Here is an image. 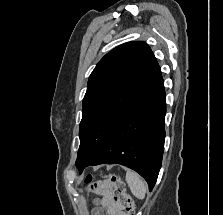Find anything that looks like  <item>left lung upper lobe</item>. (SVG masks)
I'll return each mask as SVG.
<instances>
[{
  "label": "left lung upper lobe",
  "instance_id": "obj_1",
  "mask_svg": "<svg viewBox=\"0 0 223 215\" xmlns=\"http://www.w3.org/2000/svg\"><path fill=\"white\" fill-rule=\"evenodd\" d=\"M160 72L143 41L124 43L106 54L92 71L83 98L76 166H85L112 128Z\"/></svg>",
  "mask_w": 223,
  "mask_h": 215
}]
</instances>
